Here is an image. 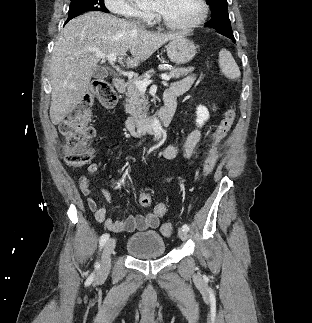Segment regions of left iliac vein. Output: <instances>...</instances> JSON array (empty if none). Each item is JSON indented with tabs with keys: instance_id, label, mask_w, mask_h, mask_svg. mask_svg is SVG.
I'll return each mask as SVG.
<instances>
[{
	"instance_id": "4c4485c4",
	"label": "left iliac vein",
	"mask_w": 312,
	"mask_h": 323,
	"mask_svg": "<svg viewBox=\"0 0 312 323\" xmlns=\"http://www.w3.org/2000/svg\"><path fill=\"white\" fill-rule=\"evenodd\" d=\"M178 235L183 241H185L188 237L187 232L183 229H179Z\"/></svg>"
}]
</instances>
